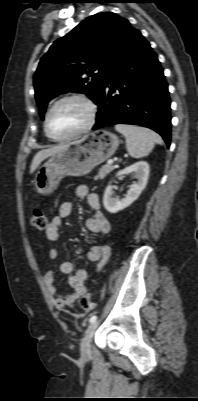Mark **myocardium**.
I'll return each mask as SVG.
<instances>
[{
	"label": "myocardium",
	"mask_w": 198,
	"mask_h": 401,
	"mask_svg": "<svg viewBox=\"0 0 198 401\" xmlns=\"http://www.w3.org/2000/svg\"><path fill=\"white\" fill-rule=\"evenodd\" d=\"M70 100H76L79 101L81 103H83L89 112V116H88V120L86 122V124L79 129L78 131H76L75 133L65 136V137H54L49 130V119H50V115L53 112V110L62 102L65 101H70ZM97 115H98V107L97 104L88 96L84 95V94H69L66 96H63L59 99H57L48 109L46 116H45V122H44V129H45V133L46 135L53 141L56 142H66L72 139H75L85 133H87L89 130L92 129V127L95 125L96 120H97Z\"/></svg>",
	"instance_id": "obj_1"
}]
</instances>
